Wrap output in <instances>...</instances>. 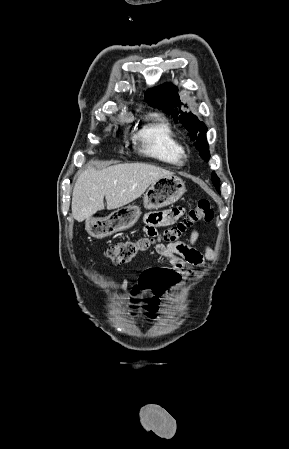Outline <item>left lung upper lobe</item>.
<instances>
[{
    "label": "left lung upper lobe",
    "instance_id": "obj_1",
    "mask_svg": "<svg viewBox=\"0 0 289 449\" xmlns=\"http://www.w3.org/2000/svg\"><path fill=\"white\" fill-rule=\"evenodd\" d=\"M146 102L152 107L164 111L167 115L174 117L175 122L179 121L189 131L191 139L195 140L196 148L200 151L201 157L208 161L210 158L209 147L206 141L207 127L192 113L183 112L180 108L183 103L180 100L177 87L172 84H164L159 87L149 89L145 93ZM212 182L216 189H220V181L213 172Z\"/></svg>",
    "mask_w": 289,
    "mask_h": 449
}]
</instances>
